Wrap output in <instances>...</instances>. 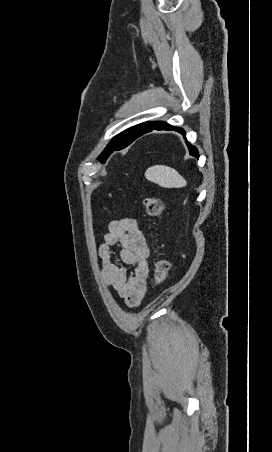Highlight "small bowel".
Returning a JSON list of instances; mask_svg holds the SVG:
<instances>
[{"label": "small bowel", "instance_id": "obj_1", "mask_svg": "<svg viewBox=\"0 0 272 452\" xmlns=\"http://www.w3.org/2000/svg\"><path fill=\"white\" fill-rule=\"evenodd\" d=\"M119 246L120 264L113 258V248ZM101 278L112 287L129 307L138 306L147 291L149 245L144 231L134 218L112 220L98 248ZM126 266L133 268L127 275Z\"/></svg>", "mask_w": 272, "mask_h": 452}]
</instances>
